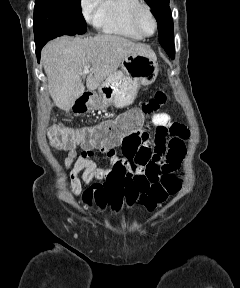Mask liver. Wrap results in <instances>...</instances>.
I'll return each mask as SVG.
<instances>
[{
  "instance_id": "obj_1",
  "label": "liver",
  "mask_w": 240,
  "mask_h": 288,
  "mask_svg": "<svg viewBox=\"0 0 240 288\" xmlns=\"http://www.w3.org/2000/svg\"><path fill=\"white\" fill-rule=\"evenodd\" d=\"M155 53L144 45L117 35L71 38L62 36L48 42L42 50L41 60L48 79V89L55 105L69 112L76 99L85 91L82 83L83 69L87 73L88 91L96 90L122 60L132 54Z\"/></svg>"
}]
</instances>
